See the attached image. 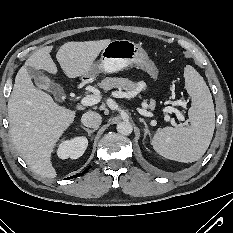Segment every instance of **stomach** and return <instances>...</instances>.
I'll list each match as a JSON object with an SVG mask.
<instances>
[{
    "instance_id": "stomach-1",
    "label": "stomach",
    "mask_w": 233,
    "mask_h": 233,
    "mask_svg": "<svg viewBox=\"0 0 233 233\" xmlns=\"http://www.w3.org/2000/svg\"><path fill=\"white\" fill-rule=\"evenodd\" d=\"M129 66H137L156 79L158 70L141 45L130 40L110 41L102 50L100 59L94 63L85 78L94 79L99 73H115Z\"/></svg>"
}]
</instances>
